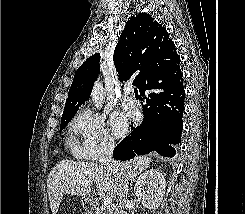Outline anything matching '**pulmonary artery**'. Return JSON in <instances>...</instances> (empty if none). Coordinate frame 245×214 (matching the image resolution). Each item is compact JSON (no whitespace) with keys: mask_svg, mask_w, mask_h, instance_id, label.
<instances>
[{"mask_svg":"<svg viewBox=\"0 0 245 214\" xmlns=\"http://www.w3.org/2000/svg\"><path fill=\"white\" fill-rule=\"evenodd\" d=\"M122 106L124 110L129 114V115H136L138 113V106L136 105L135 101L133 100V97L131 93L126 92L125 95L123 96L122 100Z\"/></svg>","mask_w":245,"mask_h":214,"instance_id":"obj_1","label":"pulmonary artery"}]
</instances>
